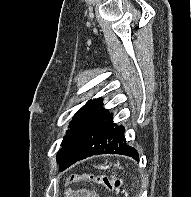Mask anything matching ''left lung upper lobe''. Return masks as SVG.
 I'll list each match as a JSON object with an SVG mask.
<instances>
[{
    "instance_id": "obj_1",
    "label": "left lung upper lobe",
    "mask_w": 191,
    "mask_h": 197,
    "mask_svg": "<svg viewBox=\"0 0 191 197\" xmlns=\"http://www.w3.org/2000/svg\"><path fill=\"white\" fill-rule=\"evenodd\" d=\"M94 100H96V99H94ZM61 146H62V149L57 154L58 163L67 159L72 153L73 148L71 147L70 142L68 141V135H66L64 137V139L61 143Z\"/></svg>"
}]
</instances>
